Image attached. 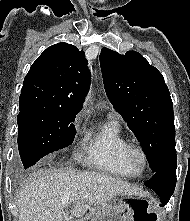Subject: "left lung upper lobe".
<instances>
[{
	"label": "left lung upper lobe",
	"mask_w": 190,
	"mask_h": 221,
	"mask_svg": "<svg viewBox=\"0 0 190 221\" xmlns=\"http://www.w3.org/2000/svg\"><path fill=\"white\" fill-rule=\"evenodd\" d=\"M106 94L133 131L153 173L176 154L173 104L162 74L136 51L100 53Z\"/></svg>",
	"instance_id": "obj_1"
}]
</instances>
